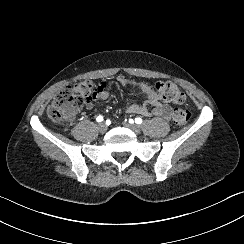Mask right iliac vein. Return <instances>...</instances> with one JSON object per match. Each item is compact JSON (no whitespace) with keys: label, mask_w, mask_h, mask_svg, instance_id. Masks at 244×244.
<instances>
[{"label":"right iliac vein","mask_w":244,"mask_h":244,"mask_svg":"<svg viewBox=\"0 0 244 244\" xmlns=\"http://www.w3.org/2000/svg\"><path fill=\"white\" fill-rule=\"evenodd\" d=\"M98 131L101 133H105L107 131V125L105 123L98 124Z\"/></svg>","instance_id":"right-iliac-vein-1"}]
</instances>
